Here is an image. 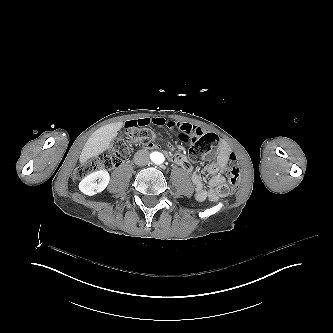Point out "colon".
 <instances>
[{"mask_svg":"<svg viewBox=\"0 0 333 333\" xmlns=\"http://www.w3.org/2000/svg\"><path fill=\"white\" fill-rule=\"evenodd\" d=\"M181 129L184 132V138L186 140L193 138L189 124H184L181 126ZM194 134L195 138H193L192 141L195 142V145L190 150V159L191 161H200L205 155L211 152L212 147L217 146L218 138H215L212 134H205V131L201 127H196ZM155 139V134L146 128L137 127L125 129V134L122 138L113 139L104 154L92 157L84 164L76 167L73 176L75 178H82L98 171H106L115 168L121 161H125L128 158L132 143L148 146ZM182 141L185 142V140ZM240 174L241 169L237 157L235 155L229 156L230 186L223 188L224 192L228 193L236 188L240 180Z\"/></svg>","mask_w":333,"mask_h":333,"instance_id":"colon-1","label":"colon"}]
</instances>
